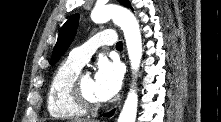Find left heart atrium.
<instances>
[{"label":"left heart atrium","instance_id":"left-heart-atrium-1","mask_svg":"<svg viewBox=\"0 0 221 122\" xmlns=\"http://www.w3.org/2000/svg\"><path fill=\"white\" fill-rule=\"evenodd\" d=\"M122 69L119 63L106 58L99 60L94 76V91L100 101H107L117 94L122 85Z\"/></svg>","mask_w":221,"mask_h":122}]
</instances>
